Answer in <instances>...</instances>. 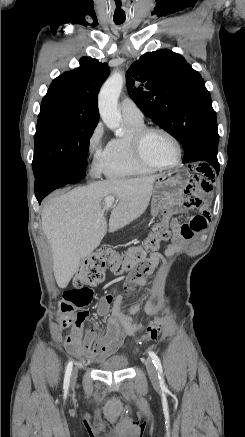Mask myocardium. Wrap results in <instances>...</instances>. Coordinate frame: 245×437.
<instances>
[{"label": "myocardium", "mask_w": 245, "mask_h": 437, "mask_svg": "<svg viewBox=\"0 0 245 437\" xmlns=\"http://www.w3.org/2000/svg\"><path fill=\"white\" fill-rule=\"evenodd\" d=\"M150 132H160L167 136L175 145L177 157L174 163L170 165H160L149 161L143 154L142 142L144 137ZM131 149L134 157L143 165L153 168L155 170H169L177 167L182 158V148L179 140L167 129L160 126H144L137 130L130 139Z\"/></svg>", "instance_id": "myocardium-1"}]
</instances>
